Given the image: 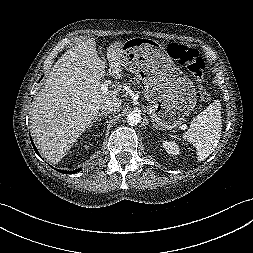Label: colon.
<instances>
[{
	"label": "colon",
	"mask_w": 253,
	"mask_h": 253,
	"mask_svg": "<svg viewBox=\"0 0 253 253\" xmlns=\"http://www.w3.org/2000/svg\"><path fill=\"white\" fill-rule=\"evenodd\" d=\"M169 56L178 64L183 66L196 80L201 81L205 75V64L198 51L194 48L170 43L167 47ZM201 97L204 100L209 99V94L201 89Z\"/></svg>",
	"instance_id": "colon-1"
}]
</instances>
